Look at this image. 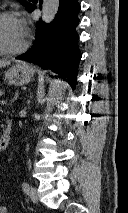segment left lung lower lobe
Masks as SVG:
<instances>
[{
    "label": "left lung lower lobe",
    "instance_id": "obj_1",
    "mask_svg": "<svg viewBox=\"0 0 128 213\" xmlns=\"http://www.w3.org/2000/svg\"><path fill=\"white\" fill-rule=\"evenodd\" d=\"M35 8L31 4L28 9L33 11ZM79 11L78 0H60L55 19L49 24L38 22L34 45L16 59L30 61L67 77L74 89L81 59L76 32Z\"/></svg>",
    "mask_w": 128,
    "mask_h": 213
}]
</instances>
